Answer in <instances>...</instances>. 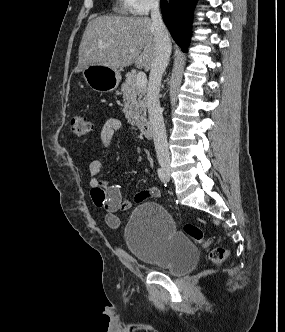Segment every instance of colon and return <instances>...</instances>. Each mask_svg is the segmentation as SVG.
I'll return each instance as SVG.
<instances>
[{
	"instance_id": "obj_1",
	"label": "colon",
	"mask_w": 285,
	"mask_h": 332,
	"mask_svg": "<svg viewBox=\"0 0 285 332\" xmlns=\"http://www.w3.org/2000/svg\"><path fill=\"white\" fill-rule=\"evenodd\" d=\"M70 128L72 132L78 138L86 139L93 132V126L91 122L84 116H75L70 121ZM184 232L193 240L207 244L204 238V233L200 227L195 224H186L184 226ZM228 256L227 249L223 247H217L210 251L209 258L215 264L222 263Z\"/></svg>"
}]
</instances>
